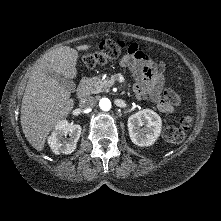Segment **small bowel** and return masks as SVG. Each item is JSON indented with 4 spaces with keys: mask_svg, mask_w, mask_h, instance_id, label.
I'll use <instances>...</instances> for the list:
<instances>
[{
    "mask_svg": "<svg viewBox=\"0 0 221 221\" xmlns=\"http://www.w3.org/2000/svg\"><path fill=\"white\" fill-rule=\"evenodd\" d=\"M118 44L127 49L120 59V65L132 71L135 77L133 90L136 97L140 100L151 99L160 112L173 113L174 106L166 102L161 96L165 78L162 74L152 73V61L150 58L137 44H130L128 46H125L122 42Z\"/></svg>",
    "mask_w": 221,
    "mask_h": 221,
    "instance_id": "obj_1",
    "label": "small bowel"
}]
</instances>
